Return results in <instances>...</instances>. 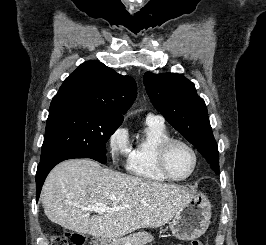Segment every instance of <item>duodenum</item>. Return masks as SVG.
Returning <instances> with one entry per match:
<instances>
[{"instance_id": "410a0bca", "label": "duodenum", "mask_w": 266, "mask_h": 245, "mask_svg": "<svg viewBox=\"0 0 266 245\" xmlns=\"http://www.w3.org/2000/svg\"><path fill=\"white\" fill-rule=\"evenodd\" d=\"M94 245H109V237H94Z\"/></svg>"}]
</instances>
